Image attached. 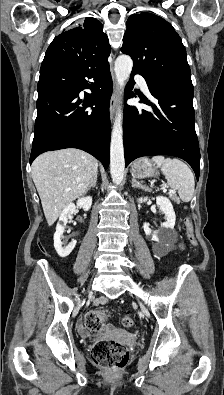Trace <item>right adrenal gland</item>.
I'll return each instance as SVG.
<instances>
[{"label":"right adrenal gland","mask_w":224,"mask_h":395,"mask_svg":"<svg viewBox=\"0 0 224 395\" xmlns=\"http://www.w3.org/2000/svg\"><path fill=\"white\" fill-rule=\"evenodd\" d=\"M97 178H98V175L96 174L95 177H94V179L92 180V182H91L89 188L95 187V186H96Z\"/></svg>","instance_id":"right-adrenal-gland-1"}]
</instances>
